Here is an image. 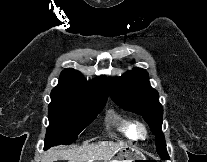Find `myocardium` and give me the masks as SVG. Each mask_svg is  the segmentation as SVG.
<instances>
[{"label": "myocardium", "instance_id": "obj_1", "mask_svg": "<svg viewBox=\"0 0 207 162\" xmlns=\"http://www.w3.org/2000/svg\"><path fill=\"white\" fill-rule=\"evenodd\" d=\"M135 138L145 139L147 137V128L143 123L137 122L134 127Z\"/></svg>", "mask_w": 207, "mask_h": 162}]
</instances>
